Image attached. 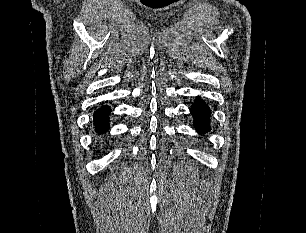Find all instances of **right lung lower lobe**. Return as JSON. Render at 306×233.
<instances>
[{
	"mask_svg": "<svg viewBox=\"0 0 306 233\" xmlns=\"http://www.w3.org/2000/svg\"><path fill=\"white\" fill-rule=\"evenodd\" d=\"M111 112L110 107L102 106L97 111L94 112V125L95 130L98 133L105 132L109 127V114Z\"/></svg>",
	"mask_w": 306,
	"mask_h": 233,
	"instance_id": "obj_1",
	"label": "right lung lower lobe"
}]
</instances>
